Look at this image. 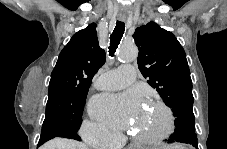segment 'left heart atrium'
<instances>
[{"label":"left heart atrium","mask_w":227,"mask_h":149,"mask_svg":"<svg viewBox=\"0 0 227 149\" xmlns=\"http://www.w3.org/2000/svg\"><path fill=\"white\" fill-rule=\"evenodd\" d=\"M135 100L136 95L133 93L120 96L100 95L92 101L91 111L108 125L126 129L130 126L128 111L134 110Z\"/></svg>","instance_id":"obj_1"}]
</instances>
